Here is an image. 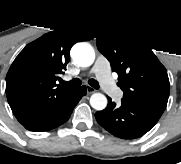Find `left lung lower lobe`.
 I'll list each match as a JSON object with an SVG mask.
<instances>
[{"instance_id":"0a47b994","label":"left lung lower lobe","mask_w":181,"mask_h":164,"mask_svg":"<svg viewBox=\"0 0 181 164\" xmlns=\"http://www.w3.org/2000/svg\"><path fill=\"white\" fill-rule=\"evenodd\" d=\"M163 112L122 99L116 105L108 98L107 107L95 114L97 122L108 132L123 139H135L147 133Z\"/></svg>"}]
</instances>
